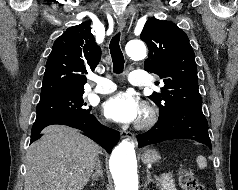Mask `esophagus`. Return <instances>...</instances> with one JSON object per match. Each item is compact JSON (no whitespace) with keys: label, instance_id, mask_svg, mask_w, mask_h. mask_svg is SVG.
Here are the masks:
<instances>
[{"label":"esophagus","instance_id":"esophagus-1","mask_svg":"<svg viewBox=\"0 0 238 190\" xmlns=\"http://www.w3.org/2000/svg\"><path fill=\"white\" fill-rule=\"evenodd\" d=\"M125 26H126L125 20L122 19V18L118 19V21H117L118 31H122L125 28ZM120 136H121V138H126V139H129V140L134 138L133 134L130 133V132H127V131H121Z\"/></svg>","mask_w":238,"mask_h":190}]
</instances>
